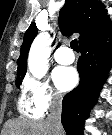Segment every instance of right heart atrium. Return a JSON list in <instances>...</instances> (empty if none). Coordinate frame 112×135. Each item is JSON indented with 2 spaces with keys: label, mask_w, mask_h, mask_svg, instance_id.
Masks as SVG:
<instances>
[{
  "label": "right heart atrium",
  "mask_w": 112,
  "mask_h": 135,
  "mask_svg": "<svg viewBox=\"0 0 112 135\" xmlns=\"http://www.w3.org/2000/svg\"><path fill=\"white\" fill-rule=\"evenodd\" d=\"M23 88L32 106L41 114L61 104V95L46 80L29 76L25 79Z\"/></svg>",
  "instance_id": "1"
}]
</instances>
